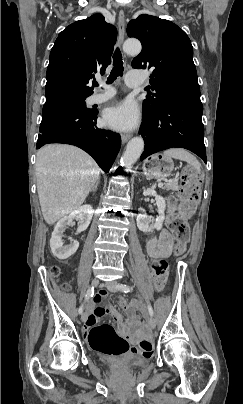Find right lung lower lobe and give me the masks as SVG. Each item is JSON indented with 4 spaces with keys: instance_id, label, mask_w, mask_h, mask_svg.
I'll list each match as a JSON object with an SVG mask.
<instances>
[{
    "instance_id": "right-lung-lower-lobe-1",
    "label": "right lung lower lobe",
    "mask_w": 243,
    "mask_h": 404,
    "mask_svg": "<svg viewBox=\"0 0 243 404\" xmlns=\"http://www.w3.org/2000/svg\"><path fill=\"white\" fill-rule=\"evenodd\" d=\"M97 111L68 108L42 118L36 148L46 143L75 145L91 155L108 173L121 146L120 135L95 127Z\"/></svg>"
}]
</instances>
